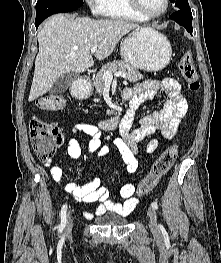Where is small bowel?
<instances>
[{"label":"small bowel","mask_w":221,"mask_h":263,"mask_svg":"<svg viewBox=\"0 0 221 263\" xmlns=\"http://www.w3.org/2000/svg\"><path fill=\"white\" fill-rule=\"evenodd\" d=\"M123 93L128 96L131 108H138L146 101L157 100L161 94L167 96L161 110L143 116L134 129H131V120L128 123H123L120 128V135L112 141V145L124 163V174H133L138 168L140 142L155 133L171 139L188 112V104L180 83L175 79L140 82L135 84L133 88L125 89ZM71 132L73 136L67 139V152L75 160L80 159L83 154L80 143L74 137L80 133L90 137L87 143L89 153L103 156L110 150V147L103 143L101 130L97 126L77 123L72 127ZM158 145L157 139H151L147 143L146 152L154 153ZM45 166H51V162L45 161ZM50 174L54 181L61 182L63 171L60 167L52 166ZM65 191L77 202L98 203L95 210L96 215H102L109 211L126 216L133 212L139 203L134 195L135 187L132 183H126L121 187V202L112 201L109 198L108 190L101 186L99 177H94L90 182L83 185L74 182L67 183ZM85 216L90 217L92 213L86 212Z\"/></svg>","instance_id":"c3829d8e"}]
</instances>
